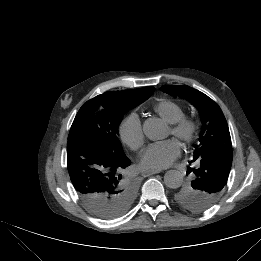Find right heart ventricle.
Instances as JSON below:
<instances>
[{"label": "right heart ventricle", "mask_w": 261, "mask_h": 261, "mask_svg": "<svg viewBox=\"0 0 261 261\" xmlns=\"http://www.w3.org/2000/svg\"><path fill=\"white\" fill-rule=\"evenodd\" d=\"M154 111L165 121L174 123L185 114V110L178 102L170 99H164L156 103Z\"/></svg>", "instance_id": "1"}]
</instances>
